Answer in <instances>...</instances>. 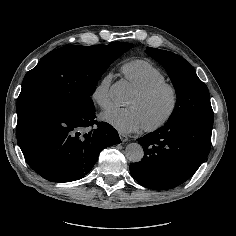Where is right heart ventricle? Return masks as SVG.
<instances>
[{
    "label": "right heart ventricle",
    "instance_id": "e07e8e85",
    "mask_svg": "<svg viewBox=\"0 0 236 236\" xmlns=\"http://www.w3.org/2000/svg\"><path fill=\"white\" fill-rule=\"evenodd\" d=\"M121 71L135 90L145 89L167 80L161 69L145 59L128 61L122 65Z\"/></svg>",
    "mask_w": 236,
    "mask_h": 236
}]
</instances>
